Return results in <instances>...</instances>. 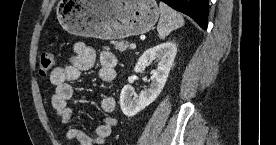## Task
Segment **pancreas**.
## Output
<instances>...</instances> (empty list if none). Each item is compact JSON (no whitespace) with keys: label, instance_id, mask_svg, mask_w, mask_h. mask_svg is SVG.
Returning <instances> with one entry per match:
<instances>
[{"label":"pancreas","instance_id":"obj_1","mask_svg":"<svg viewBox=\"0 0 276 145\" xmlns=\"http://www.w3.org/2000/svg\"><path fill=\"white\" fill-rule=\"evenodd\" d=\"M113 45L115 49L119 50L120 52L127 50L129 47V43L125 41L114 42Z\"/></svg>","mask_w":276,"mask_h":145}]
</instances>
